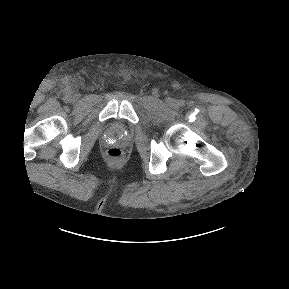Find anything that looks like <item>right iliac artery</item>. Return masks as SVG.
I'll return each mask as SVG.
<instances>
[{
    "label": "right iliac artery",
    "mask_w": 289,
    "mask_h": 289,
    "mask_svg": "<svg viewBox=\"0 0 289 289\" xmlns=\"http://www.w3.org/2000/svg\"><path fill=\"white\" fill-rule=\"evenodd\" d=\"M64 99H65V101H69L70 97L68 95H66Z\"/></svg>",
    "instance_id": "obj_1"
}]
</instances>
